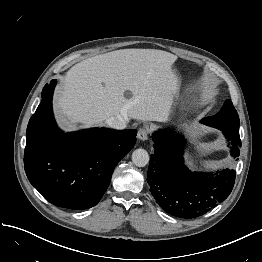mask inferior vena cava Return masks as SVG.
<instances>
[{
  "mask_svg": "<svg viewBox=\"0 0 262 262\" xmlns=\"http://www.w3.org/2000/svg\"><path fill=\"white\" fill-rule=\"evenodd\" d=\"M128 122L129 118L122 115L113 116L106 120V124L109 127L118 130L126 128Z\"/></svg>",
  "mask_w": 262,
  "mask_h": 262,
  "instance_id": "602c4592",
  "label": "inferior vena cava"
}]
</instances>
